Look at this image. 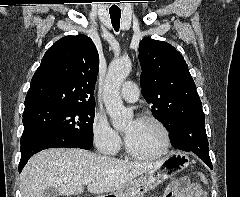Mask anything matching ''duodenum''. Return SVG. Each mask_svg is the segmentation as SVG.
Returning <instances> with one entry per match:
<instances>
[{"mask_svg":"<svg viewBox=\"0 0 240 197\" xmlns=\"http://www.w3.org/2000/svg\"><path fill=\"white\" fill-rule=\"evenodd\" d=\"M101 197H114L113 195H104V196H101Z\"/></svg>","mask_w":240,"mask_h":197,"instance_id":"410a0bca","label":"duodenum"}]
</instances>
